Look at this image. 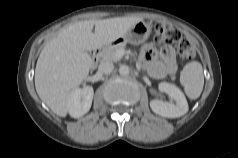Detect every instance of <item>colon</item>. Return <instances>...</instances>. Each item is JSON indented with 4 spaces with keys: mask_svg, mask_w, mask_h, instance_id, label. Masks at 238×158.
<instances>
[{
    "mask_svg": "<svg viewBox=\"0 0 238 158\" xmlns=\"http://www.w3.org/2000/svg\"><path fill=\"white\" fill-rule=\"evenodd\" d=\"M154 41L157 44L166 46L175 44L178 54L183 60H192L196 56V51L191 42L170 24L157 23L155 25Z\"/></svg>",
    "mask_w": 238,
    "mask_h": 158,
    "instance_id": "obj_1",
    "label": "colon"
}]
</instances>
